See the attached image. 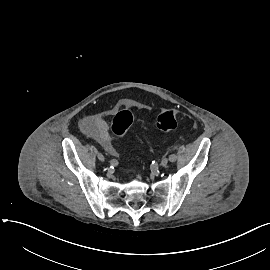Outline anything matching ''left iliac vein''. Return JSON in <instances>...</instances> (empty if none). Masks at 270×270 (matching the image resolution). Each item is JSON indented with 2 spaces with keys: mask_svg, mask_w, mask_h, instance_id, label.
Listing matches in <instances>:
<instances>
[{
  "mask_svg": "<svg viewBox=\"0 0 270 270\" xmlns=\"http://www.w3.org/2000/svg\"><path fill=\"white\" fill-rule=\"evenodd\" d=\"M168 164V159L167 158H163L162 160H161V162H160V165L161 166H166Z\"/></svg>",
  "mask_w": 270,
  "mask_h": 270,
  "instance_id": "4c4485c4",
  "label": "left iliac vein"
}]
</instances>
